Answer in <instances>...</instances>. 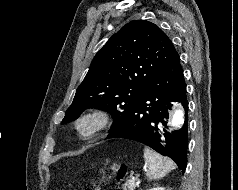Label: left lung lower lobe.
<instances>
[{"instance_id":"0a47b994","label":"left lung lower lobe","mask_w":238,"mask_h":190,"mask_svg":"<svg viewBox=\"0 0 238 190\" xmlns=\"http://www.w3.org/2000/svg\"><path fill=\"white\" fill-rule=\"evenodd\" d=\"M172 102L182 103L185 123L181 129L169 132L167 119ZM187 113L186 84L177 54L153 76L126 118L107 139L127 138L145 144L173 159L184 173L188 147Z\"/></svg>"}]
</instances>
